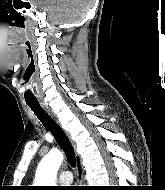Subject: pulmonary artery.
<instances>
[{
	"label": "pulmonary artery",
	"mask_w": 165,
	"mask_h": 190,
	"mask_svg": "<svg viewBox=\"0 0 165 190\" xmlns=\"http://www.w3.org/2000/svg\"><path fill=\"white\" fill-rule=\"evenodd\" d=\"M58 180L61 184L68 185L73 181V176L70 171L64 170L60 172Z\"/></svg>",
	"instance_id": "e3ab8cb5"
}]
</instances>
